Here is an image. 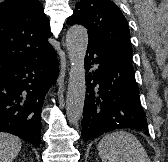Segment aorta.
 Instances as JSON below:
<instances>
[{"label":"aorta","mask_w":168,"mask_h":162,"mask_svg":"<svg viewBox=\"0 0 168 162\" xmlns=\"http://www.w3.org/2000/svg\"><path fill=\"white\" fill-rule=\"evenodd\" d=\"M88 46V32L82 25H74L66 34V47L70 59L69 82L66 96V114L76 124L84 108L86 81L84 59Z\"/></svg>","instance_id":"obj_1"}]
</instances>
